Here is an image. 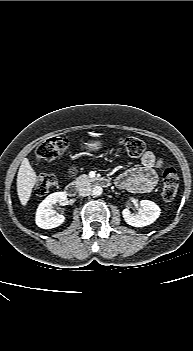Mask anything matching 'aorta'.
<instances>
[{"mask_svg":"<svg viewBox=\"0 0 193 351\" xmlns=\"http://www.w3.org/2000/svg\"><path fill=\"white\" fill-rule=\"evenodd\" d=\"M92 193L95 196H100L103 193V189H102L101 186L96 185V186L93 187Z\"/></svg>","mask_w":193,"mask_h":351,"instance_id":"obj_1","label":"aorta"}]
</instances>
